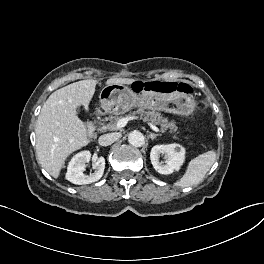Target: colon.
Here are the masks:
<instances>
[{
	"label": "colon",
	"mask_w": 264,
	"mask_h": 264,
	"mask_svg": "<svg viewBox=\"0 0 264 264\" xmlns=\"http://www.w3.org/2000/svg\"><path fill=\"white\" fill-rule=\"evenodd\" d=\"M150 88L157 90V91H161V92H165V93H170L173 92L175 90L181 91V92H189L190 88L189 86L185 85V84H175V83H171V82H156L153 83L149 86ZM135 88L137 91H141L144 88H146V85L144 83L138 82L135 84Z\"/></svg>",
	"instance_id": "5ec220e1"
}]
</instances>
